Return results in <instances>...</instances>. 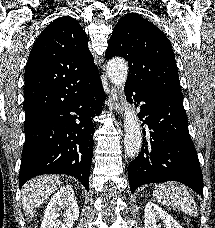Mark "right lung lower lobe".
<instances>
[{
	"label": "right lung lower lobe",
	"instance_id": "1",
	"mask_svg": "<svg viewBox=\"0 0 215 228\" xmlns=\"http://www.w3.org/2000/svg\"><path fill=\"white\" fill-rule=\"evenodd\" d=\"M105 93L99 73L71 91L62 106L24 124L25 143L19 186L41 174H67L89 189L93 156V117L101 114Z\"/></svg>",
	"mask_w": 215,
	"mask_h": 228
}]
</instances>
